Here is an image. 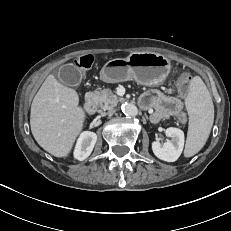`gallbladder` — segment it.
<instances>
[{"mask_svg":"<svg viewBox=\"0 0 231 231\" xmlns=\"http://www.w3.org/2000/svg\"><path fill=\"white\" fill-rule=\"evenodd\" d=\"M57 76L64 85L71 87L78 86L82 80L81 72L72 64H67L60 67L57 71Z\"/></svg>","mask_w":231,"mask_h":231,"instance_id":"gallbladder-1","label":"gallbladder"}]
</instances>
